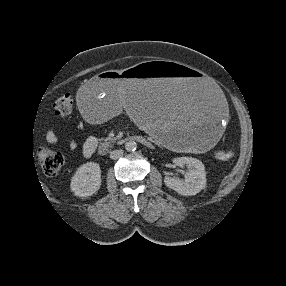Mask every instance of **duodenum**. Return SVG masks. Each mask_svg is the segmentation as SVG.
Here are the masks:
<instances>
[{
	"mask_svg": "<svg viewBox=\"0 0 286 286\" xmlns=\"http://www.w3.org/2000/svg\"><path fill=\"white\" fill-rule=\"evenodd\" d=\"M127 141H137L138 143H141L143 145H148V141L147 139H145L142 136H138V135H129L126 136L124 138L121 139H116V140H111V141H102L99 143L98 145V151L101 154L106 153L110 148L116 146V145H120L123 144Z\"/></svg>",
	"mask_w": 286,
	"mask_h": 286,
	"instance_id": "duodenum-1",
	"label": "duodenum"
}]
</instances>
